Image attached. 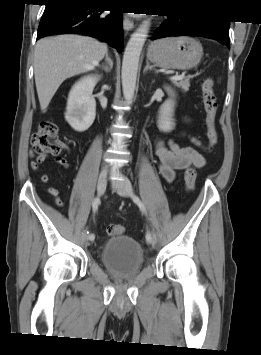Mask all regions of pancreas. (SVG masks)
Returning <instances> with one entry per match:
<instances>
[{
	"label": "pancreas",
	"mask_w": 261,
	"mask_h": 355,
	"mask_svg": "<svg viewBox=\"0 0 261 355\" xmlns=\"http://www.w3.org/2000/svg\"><path fill=\"white\" fill-rule=\"evenodd\" d=\"M175 86L179 87L182 89V91L187 92L190 87V81L189 79L181 80L179 82L174 81L173 82Z\"/></svg>",
	"instance_id": "pancreas-1"
}]
</instances>
